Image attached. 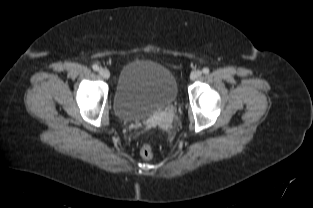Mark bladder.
<instances>
[{"label": "bladder", "instance_id": "31cf9c89", "mask_svg": "<svg viewBox=\"0 0 313 208\" xmlns=\"http://www.w3.org/2000/svg\"><path fill=\"white\" fill-rule=\"evenodd\" d=\"M177 94L176 78L169 69L153 61H132L119 73L114 109L121 120H141L172 104Z\"/></svg>", "mask_w": 313, "mask_h": 208}]
</instances>
